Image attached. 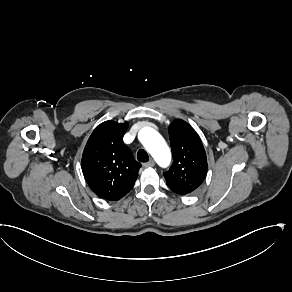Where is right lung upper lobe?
<instances>
[{
    "instance_id": "obj_1",
    "label": "right lung upper lobe",
    "mask_w": 292,
    "mask_h": 292,
    "mask_svg": "<svg viewBox=\"0 0 292 292\" xmlns=\"http://www.w3.org/2000/svg\"><path fill=\"white\" fill-rule=\"evenodd\" d=\"M128 123L105 121L90 135L81 167L91 190L100 198L114 201L133 187L141 164L123 143Z\"/></svg>"
}]
</instances>
